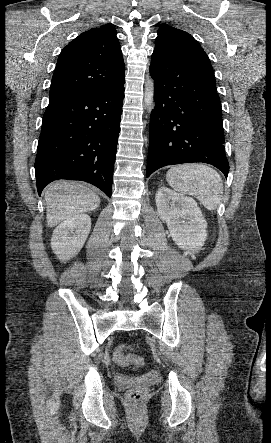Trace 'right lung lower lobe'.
Listing matches in <instances>:
<instances>
[{"label": "right lung lower lobe", "mask_w": 271, "mask_h": 443, "mask_svg": "<svg viewBox=\"0 0 271 443\" xmlns=\"http://www.w3.org/2000/svg\"><path fill=\"white\" fill-rule=\"evenodd\" d=\"M124 83L50 99L35 160L39 195L50 182L69 179L111 197Z\"/></svg>", "instance_id": "obj_1"}]
</instances>
